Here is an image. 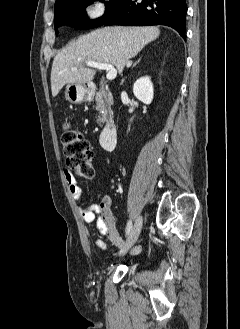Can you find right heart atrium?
<instances>
[{"instance_id": "obj_1", "label": "right heart atrium", "mask_w": 240, "mask_h": 329, "mask_svg": "<svg viewBox=\"0 0 240 329\" xmlns=\"http://www.w3.org/2000/svg\"><path fill=\"white\" fill-rule=\"evenodd\" d=\"M106 13V1L94 0L86 9V17L90 21L101 19Z\"/></svg>"}]
</instances>
